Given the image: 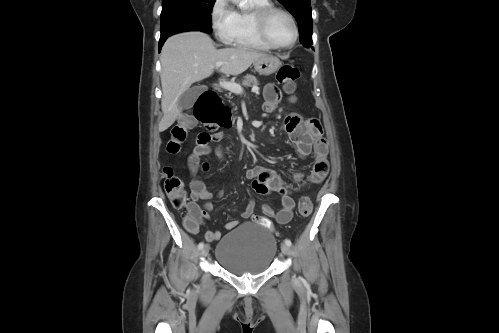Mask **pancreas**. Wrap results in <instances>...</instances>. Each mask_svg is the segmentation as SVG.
<instances>
[{"label": "pancreas", "instance_id": "obj_1", "mask_svg": "<svg viewBox=\"0 0 499 333\" xmlns=\"http://www.w3.org/2000/svg\"><path fill=\"white\" fill-rule=\"evenodd\" d=\"M242 84L245 86H258V81L254 75L248 74L244 77Z\"/></svg>", "mask_w": 499, "mask_h": 333}]
</instances>
